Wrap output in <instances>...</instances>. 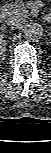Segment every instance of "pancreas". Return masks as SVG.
<instances>
[{
	"instance_id": "1",
	"label": "pancreas",
	"mask_w": 51,
	"mask_h": 153,
	"mask_svg": "<svg viewBox=\"0 0 51 153\" xmlns=\"http://www.w3.org/2000/svg\"><path fill=\"white\" fill-rule=\"evenodd\" d=\"M8 12L10 16L17 15L27 17L28 14V10L26 9V6L22 1L10 4L8 6Z\"/></svg>"
}]
</instances>
